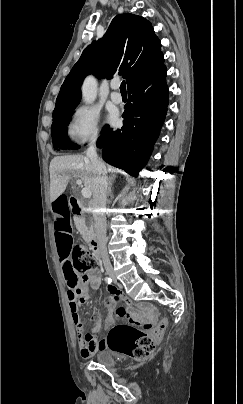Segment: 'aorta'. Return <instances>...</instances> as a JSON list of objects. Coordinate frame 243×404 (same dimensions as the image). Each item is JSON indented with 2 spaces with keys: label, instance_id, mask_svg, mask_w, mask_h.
I'll return each instance as SVG.
<instances>
[{
  "label": "aorta",
  "instance_id": "obj_1",
  "mask_svg": "<svg viewBox=\"0 0 243 404\" xmlns=\"http://www.w3.org/2000/svg\"><path fill=\"white\" fill-rule=\"evenodd\" d=\"M97 90L98 88L95 78H92V76L86 78L82 86L83 100L86 104H93V102H95L97 98Z\"/></svg>",
  "mask_w": 243,
  "mask_h": 404
}]
</instances>
